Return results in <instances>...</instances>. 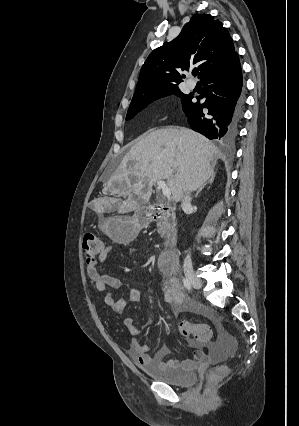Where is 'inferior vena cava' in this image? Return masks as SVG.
<instances>
[{"label":"inferior vena cava","mask_w":299,"mask_h":426,"mask_svg":"<svg viewBox=\"0 0 299 426\" xmlns=\"http://www.w3.org/2000/svg\"><path fill=\"white\" fill-rule=\"evenodd\" d=\"M191 201H192L191 196L189 194H185L182 198V203H181L182 209L184 210V209L190 208L191 207ZM184 267L185 268L192 267L190 254H188L187 257L184 260Z\"/></svg>","instance_id":"obj_1"}]
</instances>
